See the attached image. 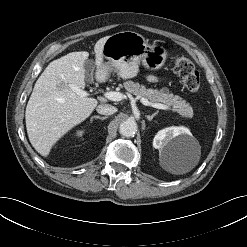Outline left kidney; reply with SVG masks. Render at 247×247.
<instances>
[{
    "mask_svg": "<svg viewBox=\"0 0 247 247\" xmlns=\"http://www.w3.org/2000/svg\"><path fill=\"white\" fill-rule=\"evenodd\" d=\"M196 143L191 132L185 127H168L157 133L153 140L154 148L173 160H184Z\"/></svg>",
    "mask_w": 247,
    "mask_h": 247,
    "instance_id": "obj_1",
    "label": "left kidney"
}]
</instances>
